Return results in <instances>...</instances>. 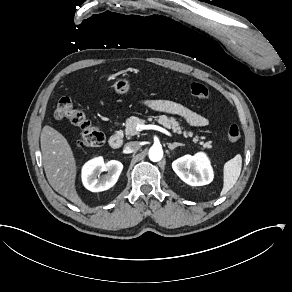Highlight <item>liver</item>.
Returning a JSON list of instances; mask_svg holds the SVG:
<instances>
[{"label":"liver","mask_w":292,"mask_h":292,"mask_svg":"<svg viewBox=\"0 0 292 292\" xmlns=\"http://www.w3.org/2000/svg\"><path fill=\"white\" fill-rule=\"evenodd\" d=\"M40 142L43 166L50 185L81 209H88L75 190V159L65 137L46 125L42 129Z\"/></svg>","instance_id":"obj_1"}]
</instances>
